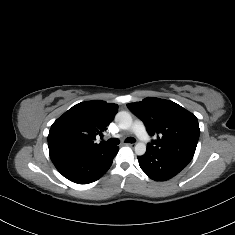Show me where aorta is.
<instances>
[{
    "label": "aorta",
    "mask_w": 235,
    "mask_h": 235,
    "mask_svg": "<svg viewBox=\"0 0 235 235\" xmlns=\"http://www.w3.org/2000/svg\"><path fill=\"white\" fill-rule=\"evenodd\" d=\"M115 122L118 123L119 128L129 129L132 125V117L129 112L120 111L115 116ZM146 152V144L139 142L135 145V153L137 155H144Z\"/></svg>",
    "instance_id": "aorta-1"
}]
</instances>
